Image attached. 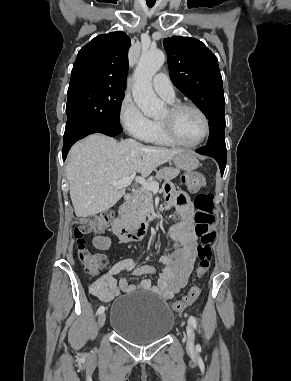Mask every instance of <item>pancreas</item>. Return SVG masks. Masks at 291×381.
Listing matches in <instances>:
<instances>
[{
  "mask_svg": "<svg viewBox=\"0 0 291 381\" xmlns=\"http://www.w3.org/2000/svg\"><path fill=\"white\" fill-rule=\"evenodd\" d=\"M179 174V170L164 167L157 171L156 180H164L168 182L174 179ZM152 191L140 188L136 191L132 202H130L127 206V212L124 215L125 220L131 227H137L142 221L145 220L146 211L151 205L152 202Z\"/></svg>",
  "mask_w": 291,
  "mask_h": 381,
  "instance_id": "obj_1",
  "label": "pancreas"
}]
</instances>
